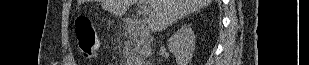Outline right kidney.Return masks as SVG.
<instances>
[{
  "label": "right kidney",
  "mask_w": 309,
  "mask_h": 65,
  "mask_svg": "<svg viewBox=\"0 0 309 65\" xmlns=\"http://www.w3.org/2000/svg\"><path fill=\"white\" fill-rule=\"evenodd\" d=\"M195 35L188 26H182L168 40V49L178 65H188L195 49Z\"/></svg>",
  "instance_id": "right-kidney-1"
}]
</instances>
